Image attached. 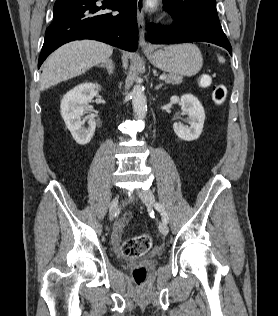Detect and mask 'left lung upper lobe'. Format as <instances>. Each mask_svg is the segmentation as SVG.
<instances>
[{
    "instance_id": "obj_1",
    "label": "left lung upper lobe",
    "mask_w": 278,
    "mask_h": 316,
    "mask_svg": "<svg viewBox=\"0 0 278 316\" xmlns=\"http://www.w3.org/2000/svg\"><path fill=\"white\" fill-rule=\"evenodd\" d=\"M175 18L204 25L224 33L219 22L216 0H163Z\"/></svg>"
}]
</instances>
